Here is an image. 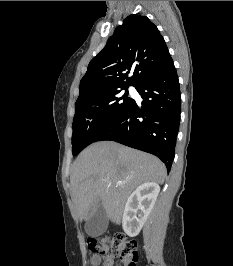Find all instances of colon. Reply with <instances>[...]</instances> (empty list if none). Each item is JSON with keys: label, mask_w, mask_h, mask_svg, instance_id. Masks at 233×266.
I'll return each mask as SVG.
<instances>
[{"label": "colon", "mask_w": 233, "mask_h": 266, "mask_svg": "<svg viewBox=\"0 0 233 266\" xmlns=\"http://www.w3.org/2000/svg\"><path fill=\"white\" fill-rule=\"evenodd\" d=\"M89 249L105 259L104 266H111V259L119 256L124 266H137L139 259L137 243L134 240H127L123 235L104 236L100 239L90 238Z\"/></svg>", "instance_id": "obj_1"}]
</instances>
